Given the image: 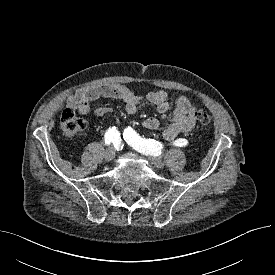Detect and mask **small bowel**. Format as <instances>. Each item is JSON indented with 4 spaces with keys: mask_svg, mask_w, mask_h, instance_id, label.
<instances>
[{
    "mask_svg": "<svg viewBox=\"0 0 275 275\" xmlns=\"http://www.w3.org/2000/svg\"><path fill=\"white\" fill-rule=\"evenodd\" d=\"M100 97L123 101L125 111L129 115L137 111L144 99L153 104L161 114L167 113L172 108L168 123L162 132L163 137L168 141L176 139L179 134L189 133L196 124L194 117L196 109L186 96L177 97L171 104L168 94L163 90L150 92L144 98L120 84L83 86L67 96L66 107L80 114H87L90 112L91 103ZM94 114L115 118L114 112L107 107L96 108ZM142 125L146 129L155 130L161 126V123L155 117H148L142 122Z\"/></svg>",
    "mask_w": 275,
    "mask_h": 275,
    "instance_id": "c3829d8e",
    "label": "small bowel"
}]
</instances>
